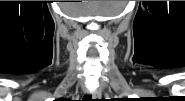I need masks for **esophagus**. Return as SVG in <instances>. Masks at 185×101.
I'll return each mask as SVG.
<instances>
[{
	"instance_id": "34e87169",
	"label": "esophagus",
	"mask_w": 185,
	"mask_h": 101,
	"mask_svg": "<svg viewBox=\"0 0 185 101\" xmlns=\"http://www.w3.org/2000/svg\"><path fill=\"white\" fill-rule=\"evenodd\" d=\"M94 98H100L101 97V93L100 91H96L93 95Z\"/></svg>"
}]
</instances>
